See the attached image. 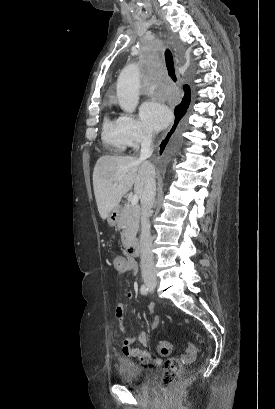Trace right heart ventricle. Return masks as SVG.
<instances>
[{"mask_svg": "<svg viewBox=\"0 0 275 409\" xmlns=\"http://www.w3.org/2000/svg\"><path fill=\"white\" fill-rule=\"evenodd\" d=\"M102 139L112 154H123L126 150V140L119 120L106 117L103 124Z\"/></svg>", "mask_w": 275, "mask_h": 409, "instance_id": "e07e8e85", "label": "right heart ventricle"}]
</instances>
